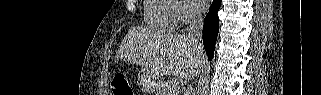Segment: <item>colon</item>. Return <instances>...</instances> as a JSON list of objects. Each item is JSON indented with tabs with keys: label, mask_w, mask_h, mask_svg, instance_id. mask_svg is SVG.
<instances>
[{
	"label": "colon",
	"mask_w": 321,
	"mask_h": 95,
	"mask_svg": "<svg viewBox=\"0 0 321 95\" xmlns=\"http://www.w3.org/2000/svg\"><path fill=\"white\" fill-rule=\"evenodd\" d=\"M111 90L115 95H133L128 79L123 75H116L111 82Z\"/></svg>",
	"instance_id": "colon-1"
}]
</instances>
